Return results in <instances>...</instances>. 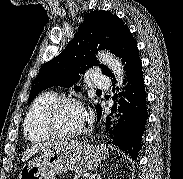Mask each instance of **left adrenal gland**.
<instances>
[{
	"label": "left adrenal gland",
	"mask_w": 183,
	"mask_h": 179,
	"mask_svg": "<svg viewBox=\"0 0 183 179\" xmlns=\"http://www.w3.org/2000/svg\"><path fill=\"white\" fill-rule=\"evenodd\" d=\"M88 179H101L100 174H92Z\"/></svg>",
	"instance_id": "obj_1"
}]
</instances>
